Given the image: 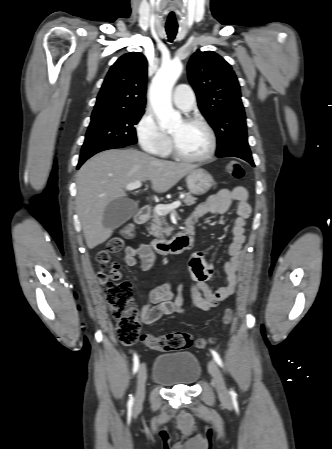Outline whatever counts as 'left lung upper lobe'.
Wrapping results in <instances>:
<instances>
[{
  "mask_svg": "<svg viewBox=\"0 0 332 449\" xmlns=\"http://www.w3.org/2000/svg\"><path fill=\"white\" fill-rule=\"evenodd\" d=\"M188 78L198 106L217 137V155H251L240 85L230 64L213 51L197 50L188 63Z\"/></svg>",
  "mask_w": 332,
  "mask_h": 449,
  "instance_id": "1",
  "label": "left lung upper lobe"
}]
</instances>
